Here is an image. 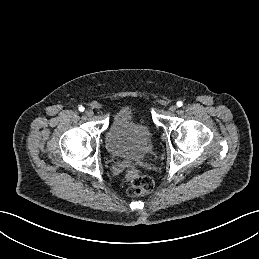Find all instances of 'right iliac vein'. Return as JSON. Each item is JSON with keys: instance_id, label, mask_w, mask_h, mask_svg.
<instances>
[{"instance_id": "1", "label": "right iliac vein", "mask_w": 259, "mask_h": 259, "mask_svg": "<svg viewBox=\"0 0 259 259\" xmlns=\"http://www.w3.org/2000/svg\"><path fill=\"white\" fill-rule=\"evenodd\" d=\"M85 113L88 117H92L94 114V112L91 109L87 110Z\"/></svg>"}]
</instances>
